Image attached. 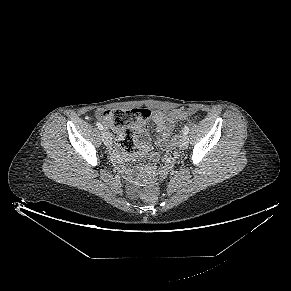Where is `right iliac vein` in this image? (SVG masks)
<instances>
[{
  "label": "right iliac vein",
  "mask_w": 291,
  "mask_h": 291,
  "mask_svg": "<svg viewBox=\"0 0 291 291\" xmlns=\"http://www.w3.org/2000/svg\"><path fill=\"white\" fill-rule=\"evenodd\" d=\"M102 140L106 146H111L112 142L108 132L106 131L102 132Z\"/></svg>",
  "instance_id": "right-iliac-vein-1"
}]
</instances>
